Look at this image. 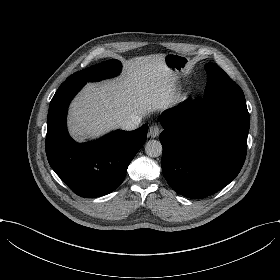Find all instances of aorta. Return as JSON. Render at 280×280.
Listing matches in <instances>:
<instances>
[{"label": "aorta", "instance_id": "762f6f07", "mask_svg": "<svg viewBox=\"0 0 280 280\" xmlns=\"http://www.w3.org/2000/svg\"><path fill=\"white\" fill-rule=\"evenodd\" d=\"M145 152L149 157H159L162 154V145L157 140H149L145 145Z\"/></svg>", "mask_w": 280, "mask_h": 280}]
</instances>
